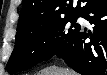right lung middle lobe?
<instances>
[{
  "mask_svg": "<svg viewBox=\"0 0 107 75\" xmlns=\"http://www.w3.org/2000/svg\"><path fill=\"white\" fill-rule=\"evenodd\" d=\"M80 14H72L33 29L17 28L15 48L7 64L16 73L49 60L80 31L76 23Z\"/></svg>",
  "mask_w": 107,
  "mask_h": 75,
  "instance_id": "obj_1",
  "label": "right lung middle lobe"
}]
</instances>
